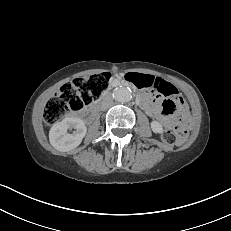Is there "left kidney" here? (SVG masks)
<instances>
[{"label": "left kidney", "instance_id": "5707ae66", "mask_svg": "<svg viewBox=\"0 0 231 231\" xmlns=\"http://www.w3.org/2000/svg\"><path fill=\"white\" fill-rule=\"evenodd\" d=\"M151 129L154 133H163V127L162 125L157 121L151 122Z\"/></svg>", "mask_w": 231, "mask_h": 231}]
</instances>
